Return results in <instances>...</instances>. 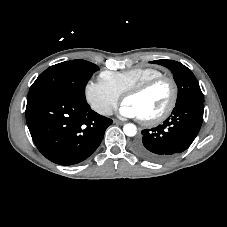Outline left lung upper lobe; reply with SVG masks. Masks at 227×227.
I'll return each instance as SVG.
<instances>
[{
	"label": "left lung upper lobe",
	"instance_id": "obj_1",
	"mask_svg": "<svg viewBox=\"0 0 227 227\" xmlns=\"http://www.w3.org/2000/svg\"><path fill=\"white\" fill-rule=\"evenodd\" d=\"M150 63L165 66L173 73L174 80L178 86L176 105L189 99L204 100L199 83L189 68L173 60H155Z\"/></svg>",
	"mask_w": 227,
	"mask_h": 227
}]
</instances>
